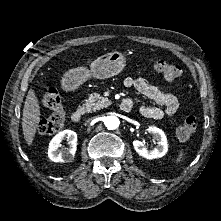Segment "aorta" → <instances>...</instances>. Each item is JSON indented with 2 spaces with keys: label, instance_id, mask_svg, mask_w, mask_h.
I'll return each instance as SVG.
<instances>
[{
  "label": "aorta",
  "instance_id": "762f6f07",
  "mask_svg": "<svg viewBox=\"0 0 221 221\" xmlns=\"http://www.w3.org/2000/svg\"><path fill=\"white\" fill-rule=\"evenodd\" d=\"M119 119L116 116H107L105 118L104 124L109 130H115L119 127Z\"/></svg>",
  "mask_w": 221,
  "mask_h": 221
}]
</instances>
